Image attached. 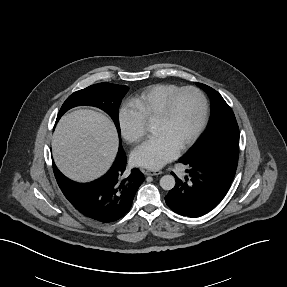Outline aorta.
<instances>
[{
    "label": "aorta",
    "instance_id": "1",
    "mask_svg": "<svg viewBox=\"0 0 287 287\" xmlns=\"http://www.w3.org/2000/svg\"><path fill=\"white\" fill-rule=\"evenodd\" d=\"M175 183H176L175 178L172 175H164L160 179L161 188L167 191L173 189L175 186Z\"/></svg>",
    "mask_w": 287,
    "mask_h": 287
}]
</instances>
